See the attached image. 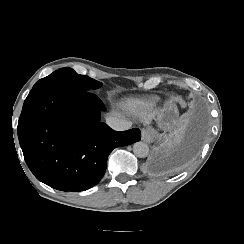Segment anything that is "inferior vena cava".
<instances>
[{
	"label": "inferior vena cava",
	"mask_w": 244,
	"mask_h": 244,
	"mask_svg": "<svg viewBox=\"0 0 244 244\" xmlns=\"http://www.w3.org/2000/svg\"><path fill=\"white\" fill-rule=\"evenodd\" d=\"M107 125L115 131H126L131 128V123L119 119L118 117H109L106 119Z\"/></svg>",
	"instance_id": "inferior-vena-cava-1"
}]
</instances>
